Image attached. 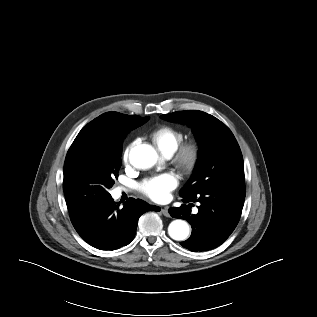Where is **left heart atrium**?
I'll use <instances>...</instances> for the list:
<instances>
[{
	"instance_id": "1",
	"label": "left heart atrium",
	"mask_w": 317,
	"mask_h": 317,
	"mask_svg": "<svg viewBox=\"0 0 317 317\" xmlns=\"http://www.w3.org/2000/svg\"><path fill=\"white\" fill-rule=\"evenodd\" d=\"M177 186V179L171 173H165L159 176L144 180L141 185V191L156 202H163L168 199L170 191Z\"/></svg>"
}]
</instances>
